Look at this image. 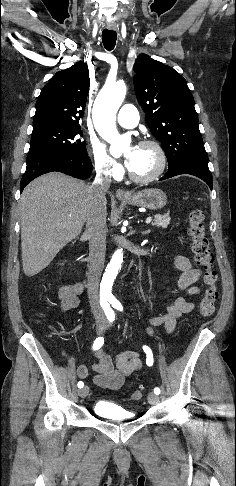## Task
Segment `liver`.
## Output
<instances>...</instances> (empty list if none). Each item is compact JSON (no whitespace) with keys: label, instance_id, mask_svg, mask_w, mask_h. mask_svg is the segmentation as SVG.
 <instances>
[{"label":"liver","instance_id":"liver-1","mask_svg":"<svg viewBox=\"0 0 236 486\" xmlns=\"http://www.w3.org/2000/svg\"><path fill=\"white\" fill-rule=\"evenodd\" d=\"M85 182L51 172L33 180L20 198L23 271L27 277L45 269L82 231L90 202Z\"/></svg>","mask_w":236,"mask_h":486}]
</instances>
